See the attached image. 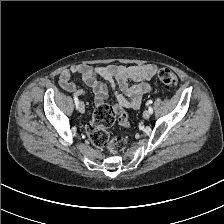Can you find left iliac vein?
<instances>
[{"label":"left iliac vein","instance_id":"4c4485c4","mask_svg":"<svg viewBox=\"0 0 224 224\" xmlns=\"http://www.w3.org/2000/svg\"><path fill=\"white\" fill-rule=\"evenodd\" d=\"M150 115H151V113L149 112V110H146V111H144V113H143V117H144L145 119H148V118L150 117Z\"/></svg>","mask_w":224,"mask_h":224}]
</instances>
